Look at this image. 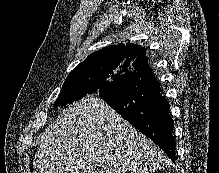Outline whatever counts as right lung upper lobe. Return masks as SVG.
Instances as JSON below:
<instances>
[{"instance_id":"cb5924a9","label":"right lung upper lobe","mask_w":219,"mask_h":173,"mask_svg":"<svg viewBox=\"0 0 219 173\" xmlns=\"http://www.w3.org/2000/svg\"><path fill=\"white\" fill-rule=\"evenodd\" d=\"M145 54L146 50L143 47L132 43H127L126 45L119 43L116 46L109 45L89 55L85 61L75 67L72 72H78L85 66H97L110 61L129 65L136 70L148 64V58Z\"/></svg>"}]
</instances>
